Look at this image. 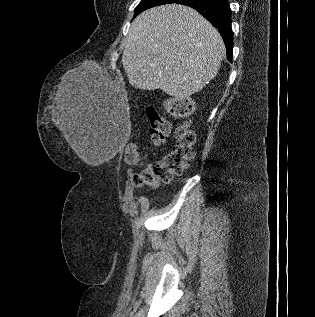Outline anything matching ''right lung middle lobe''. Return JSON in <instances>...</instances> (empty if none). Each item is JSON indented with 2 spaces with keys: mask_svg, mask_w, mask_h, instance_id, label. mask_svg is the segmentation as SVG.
I'll use <instances>...</instances> for the list:
<instances>
[{
  "mask_svg": "<svg viewBox=\"0 0 315 317\" xmlns=\"http://www.w3.org/2000/svg\"><path fill=\"white\" fill-rule=\"evenodd\" d=\"M178 0H142L135 8V16L154 6L176 3Z\"/></svg>",
  "mask_w": 315,
  "mask_h": 317,
  "instance_id": "right-lung-middle-lobe-1",
  "label": "right lung middle lobe"
}]
</instances>
